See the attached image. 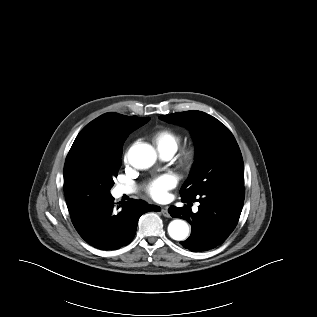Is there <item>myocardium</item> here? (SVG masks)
Segmentation results:
<instances>
[{
	"instance_id": "f54148a6",
	"label": "myocardium",
	"mask_w": 317,
	"mask_h": 317,
	"mask_svg": "<svg viewBox=\"0 0 317 317\" xmlns=\"http://www.w3.org/2000/svg\"><path fill=\"white\" fill-rule=\"evenodd\" d=\"M197 158V148L194 145L183 147L177 157V162L183 169H190L194 165Z\"/></svg>"
}]
</instances>
